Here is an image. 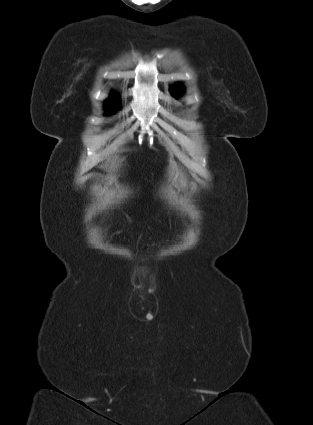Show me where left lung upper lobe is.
<instances>
[{"label": "left lung upper lobe", "mask_w": 313, "mask_h": 425, "mask_svg": "<svg viewBox=\"0 0 313 425\" xmlns=\"http://www.w3.org/2000/svg\"><path fill=\"white\" fill-rule=\"evenodd\" d=\"M172 92L176 97H178L180 94L183 93V88L180 85H176L175 87H173Z\"/></svg>", "instance_id": "1"}]
</instances>
